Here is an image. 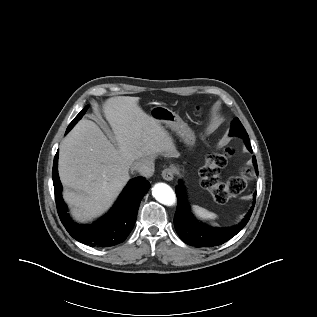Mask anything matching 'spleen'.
Wrapping results in <instances>:
<instances>
[{
	"label": "spleen",
	"mask_w": 317,
	"mask_h": 317,
	"mask_svg": "<svg viewBox=\"0 0 317 317\" xmlns=\"http://www.w3.org/2000/svg\"><path fill=\"white\" fill-rule=\"evenodd\" d=\"M192 210L193 213L202 220H214L218 217L215 213L197 205H193Z\"/></svg>",
	"instance_id": "spleen-1"
}]
</instances>
